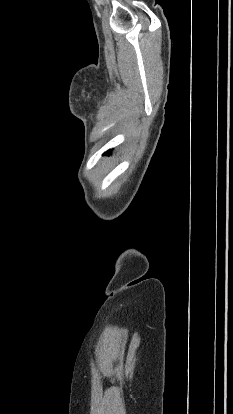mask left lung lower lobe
I'll list each match as a JSON object with an SVG mask.
<instances>
[{"instance_id":"obj_1","label":"left lung lower lobe","mask_w":233,"mask_h":414,"mask_svg":"<svg viewBox=\"0 0 233 414\" xmlns=\"http://www.w3.org/2000/svg\"><path fill=\"white\" fill-rule=\"evenodd\" d=\"M111 152V150H108L105 154L107 155V154H109Z\"/></svg>"}]
</instances>
